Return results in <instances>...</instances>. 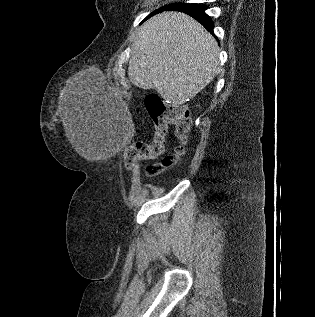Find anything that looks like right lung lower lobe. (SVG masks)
Returning a JSON list of instances; mask_svg holds the SVG:
<instances>
[{
  "label": "right lung lower lobe",
  "instance_id": "98d812e1",
  "mask_svg": "<svg viewBox=\"0 0 315 317\" xmlns=\"http://www.w3.org/2000/svg\"><path fill=\"white\" fill-rule=\"evenodd\" d=\"M207 8L208 6L206 5L179 3L171 5L163 10L184 12L200 22L209 32L213 33L214 24L211 18L204 13Z\"/></svg>",
  "mask_w": 315,
  "mask_h": 317
}]
</instances>
